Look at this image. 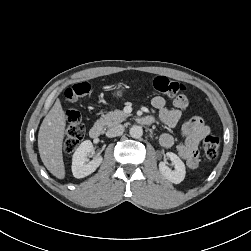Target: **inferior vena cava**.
<instances>
[{"label": "inferior vena cava", "mask_w": 251, "mask_h": 251, "mask_svg": "<svg viewBox=\"0 0 251 251\" xmlns=\"http://www.w3.org/2000/svg\"><path fill=\"white\" fill-rule=\"evenodd\" d=\"M124 132V126L121 124L115 125L111 127L107 132L106 136L107 137H116L122 135Z\"/></svg>", "instance_id": "1"}]
</instances>
